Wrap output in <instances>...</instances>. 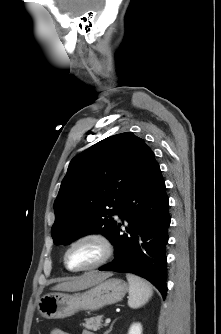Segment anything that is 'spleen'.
I'll return each mask as SVG.
<instances>
[{
    "label": "spleen",
    "instance_id": "spleen-1",
    "mask_svg": "<svg viewBox=\"0 0 221 334\" xmlns=\"http://www.w3.org/2000/svg\"><path fill=\"white\" fill-rule=\"evenodd\" d=\"M129 283V307L136 309L145 305L153 295V290L150 284L144 279L128 273L126 275Z\"/></svg>",
    "mask_w": 221,
    "mask_h": 334
}]
</instances>
